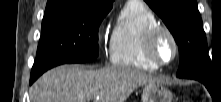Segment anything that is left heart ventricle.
I'll return each mask as SVG.
<instances>
[{
	"instance_id": "left-heart-ventricle-1",
	"label": "left heart ventricle",
	"mask_w": 221,
	"mask_h": 102,
	"mask_svg": "<svg viewBox=\"0 0 221 102\" xmlns=\"http://www.w3.org/2000/svg\"><path fill=\"white\" fill-rule=\"evenodd\" d=\"M156 53L158 57L163 61H169L173 55V46L171 41L166 37L162 36L156 46Z\"/></svg>"
}]
</instances>
